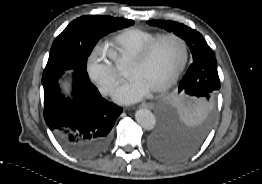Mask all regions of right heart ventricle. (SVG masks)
Wrapping results in <instances>:
<instances>
[{
    "instance_id": "1",
    "label": "right heart ventricle",
    "mask_w": 262,
    "mask_h": 184,
    "mask_svg": "<svg viewBox=\"0 0 262 184\" xmlns=\"http://www.w3.org/2000/svg\"><path fill=\"white\" fill-rule=\"evenodd\" d=\"M159 36L160 34L144 29H125L112 38L110 54L117 62L131 61L147 44Z\"/></svg>"
}]
</instances>
